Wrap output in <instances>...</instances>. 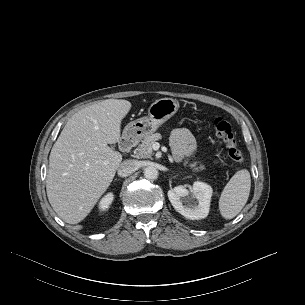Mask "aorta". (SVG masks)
I'll use <instances>...</instances> for the list:
<instances>
[{
  "label": "aorta",
  "instance_id": "762f6f07",
  "mask_svg": "<svg viewBox=\"0 0 305 305\" xmlns=\"http://www.w3.org/2000/svg\"><path fill=\"white\" fill-rule=\"evenodd\" d=\"M143 173L144 177L148 180H155L158 177V170L152 166L146 167Z\"/></svg>",
  "mask_w": 305,
  "mask_h": 305
}]
</instances>
